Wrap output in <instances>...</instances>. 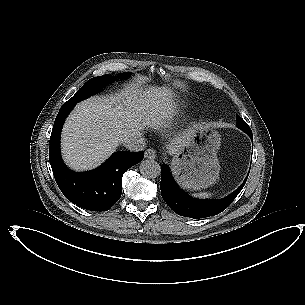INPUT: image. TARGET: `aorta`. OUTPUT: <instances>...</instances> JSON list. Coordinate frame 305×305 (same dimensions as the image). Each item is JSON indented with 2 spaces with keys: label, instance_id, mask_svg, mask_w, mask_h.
Returning a JSON list of instances; mask_svg holds the SVG:
<instances>
[{
  "label": "aorta",
  "instance_id": "1",
  "mask_svg": "<svg viewBox=\"0 0 305 305\" xmlns=\"http://www.w3.org/2000/svg\"><path fill=\"white\" fill-rule=\"evenodd\" d=\"M139 169L144 177L150 179L160 176L161 172L160 165L156 161L150 159H146L140 162Z\"/></svg>",
  "mask_w": 305,
  "mask_h": 305
}]
</instances>
